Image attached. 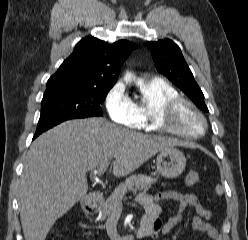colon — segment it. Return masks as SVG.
Here are the masks:
<instances>
[{"instance_id":"1","label":"colon","mask_w":248,"mask_h":240,"mask_svg":"<svg viewBox=\"0 0 248 240\" xmlns=\"http://www.w3.org/2000/svg\"><path fill=\"white\" fill-rule=\"evenodd\" d=\"M199 180V175L198 172L196 171H190L188 172L186 176V183L188 185H195Z\"/></svg>"}]
</instances>
